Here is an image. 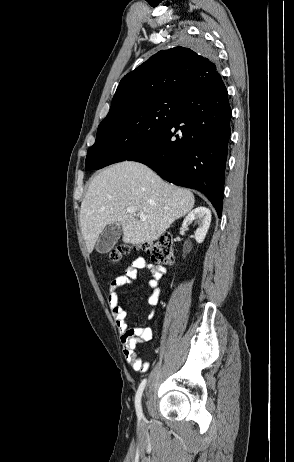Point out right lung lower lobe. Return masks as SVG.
<instances>
[{
  "mask_svg": "<svg viewBox=\"0 0 294 462\" xmlns=\"http://www.w3.org/2000/svg\"><path fill=\"white\" fill-rule=\"evenodd\" d=\"M231 114L220 78L188 93L167 126L126 160L149 166L168 182L201 191L220 217ZM104 165L99 154L86 157V170Z\"/></svg>",
  "mask_w": 294,
  "mask_h": 462,
  "instance_id": "right-lung-lower-lobe-1",
  "label": "right lung lower lobe"
}]
</instances>
